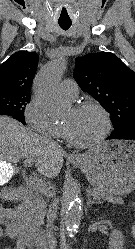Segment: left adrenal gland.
<instances>
[{
  "mask_svg": "<svg viewBox=\"0 0 135 249\" xmlns=\"http://www.w3.org/2000/svg\"><path fill=\"white\" fill-rule=\"evenodd\" d=\"M92 204H100V201L92 200V199L90 198V196H88L87 206L90 207Z\"/></svg>",
  "mask_w": 135,
  "mask_h": 249,
  "instance_id": "obj_1",
  "label": "left adrenal gland"
}]
</instances>
